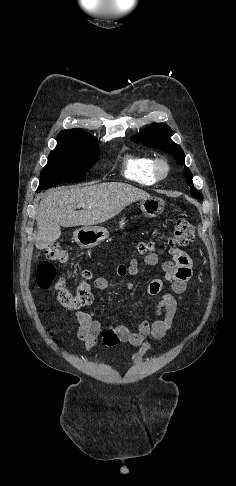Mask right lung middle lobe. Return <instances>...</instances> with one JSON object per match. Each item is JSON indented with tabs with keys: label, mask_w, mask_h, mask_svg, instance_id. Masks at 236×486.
I'll use <instances>...</instances> for the list:
<instances>
[{
	"label": "right lung middle lobe",
	"mask_w": 236,
	"mask_h": 486,
	"mask_svg": "<svg viewBox=\"0 0 236 486\" xmlns=\"http://www.w3.org/2000/svg\"><path fill=\"white\" fill-rule=\"evenodd\" d=\"M99 154L97 144L58 139L57 147L49 154L36 192L61 183L83 181Z\"/></svg>",
	"instance_id": "right-lung-middle-lobe-1"
}]
</instances>
